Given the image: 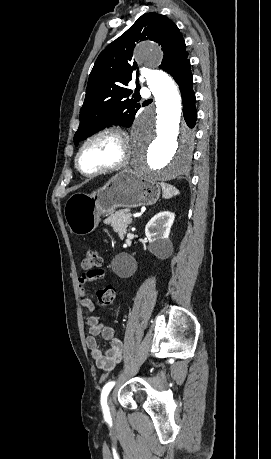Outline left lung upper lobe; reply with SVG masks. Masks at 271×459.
Returning <instances> with one entry per match:
<instances>
[{"label":"left lung upper lobe","mask_w":271,"mask_h":459,"mask_svg":"<svg viewBox=\"0 0 271 459\" xmlns=\"http://www.w3.org/2000/svg\"><path fill=\"white\" fill-rule=\"evenodd\" d=\"M143 40H153L162 47L164 56L160 68L169 74L188 57L184 38L170 19L154 12L139 17L98 56L80 110V125L74 135L75 145L107 125H132L140 105L128 98L133 91L127 86L137 68L132 58L133 49L136 43ZM139 89L137 85L133 97Z\"/></svg>","instance_id":"1"}]
</instances>
